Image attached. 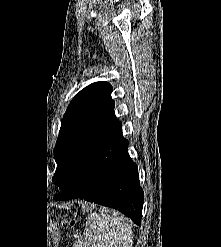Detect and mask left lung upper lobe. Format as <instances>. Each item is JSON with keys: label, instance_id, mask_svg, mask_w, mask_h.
Returning <instances> with one entry per match:
<instances>
[{"label": "left lung upper lobe", "instance_id": "left-lung-upper-lobe-1", "mask_svg": "<svg viewBox=\"0 0 221 247\" xmlns=\"http://www.w3.org/2000/svg\"><path fill=\"white\" fill-rule=\"evenodd\" d=\"M111 91L108 82H95L82 89L70 102L54 150L57 168L52 181L61 189L79 174L100 135L118 122Z\"/></svg>", "mask_w": 221, "mask_h": 247}]
</instances>
